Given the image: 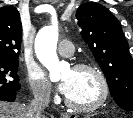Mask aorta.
I'll return each mask as SVG.
<instances>
[{"label": "aorta", "instance_id": "aorta-1", "mask_svg": "<svg viewBox=\"0 0 133 118\" xmlns=\"http://www.w3.org/2000/svg\"><path fill=\"white\" fill-rule=\"evenodd\" d=\"M58 41V27L56 24L43 27L35 39V52L40 62L49 71L51 80L60 78L68 65L60 62L56 53Z\"/></svg>", "mask_w": 133, "mask_h": 118}]
</instances>
